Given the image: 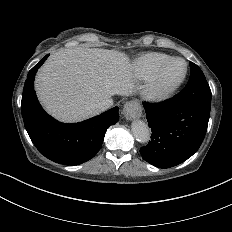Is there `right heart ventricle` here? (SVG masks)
Masks as SVG:
<instances>
[{"mask_svg": "<svg viewBox=\"0 0 232 232\" xmlns=\"http://www.w3.org/2000/svg\"><path fill=\"white\" fill-rule=\"evenodd\" d=\"M171 59L172 56L160 52L140 54L126 65L123 77L130 83L143 84L156 70Z\"/></svg>", "mask_w": 232, "mask_h": 232, "instance_id": "right-heart-ventricle-1", "label": "right heart ventricle"}]
</instances>
